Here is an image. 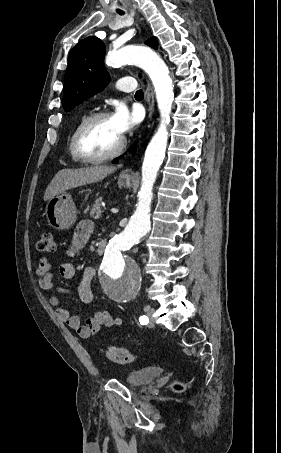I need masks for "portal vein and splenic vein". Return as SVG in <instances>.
Segmentation results:
<instances>
[{
	"mask_svg": "<svg viewBox=\"0 0 281 453\" xmlns=\"http://www.w3.org/2000/svg\"><path fill=\"white\" fill-rule=\"evenodd\" d=\"M111 212H115V214H118V208H110Z\"/></svg>",
	"mask_w": 281,
	"mask_h": 453,
	"instance_id": "obj_1",
	"label": "portal vein and splenic vein"
}]
</instances>
